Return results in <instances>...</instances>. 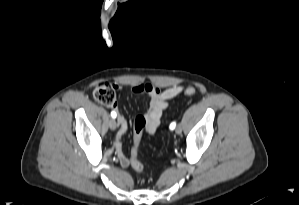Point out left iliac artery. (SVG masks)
<instances>
[{
	"mask_svg": "<svg viewBox=\"0 0 299 205\" xmlns=\"http://www.w3.org/2000/svg\"><path fill=\"white\" fill-rule=\"evenodd\" d=\"M175 127H176V122H172V123L170 124V126H169V128H170L171 130L175 129Z\"/></svg>",
	"mask_w": 299,
	"mask_h": 205,
	"instance_id": "44dca946",
	"label": "left iliac artery"
}]
</instances>
